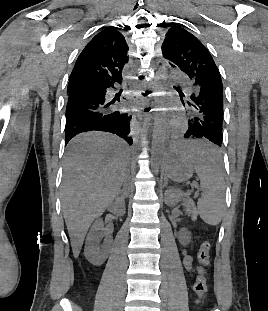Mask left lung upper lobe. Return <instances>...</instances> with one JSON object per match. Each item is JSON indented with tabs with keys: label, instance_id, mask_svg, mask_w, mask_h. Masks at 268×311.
<instances>
[{
	"label": "left lung upper lobe",
	"instance_id": "1",
	"mask_svg": "<svg viewBox=\"0 0 268 311\" xmlns=\"http://www.w3.org/2000/svg\"><path fill=\"white\" fill-rule=\"evenodd\" d=\"M162 53L172 67L184 72L193 89L205 84L223 88L220 72L207 48L187 30L171 27L162 44Z\"/></svg>",
	"mask_w": 268,
	"mask_h": 311
}]
</instances>
